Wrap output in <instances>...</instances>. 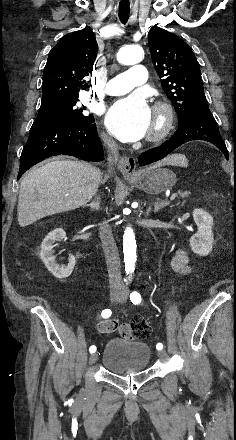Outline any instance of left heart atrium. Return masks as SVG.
<instances>
[{"label":"left heart atrium","instance_id":"39dd6f15","mask_svg":"<svg viewBox=\"0 0 236 440\" xmlns=\"http://www.w3.org/2000/svg\"><path fill=\"white\" fill-rule=\"evenodd\" d=\"M151 109L140 94L114 102L107 111L106 125L112 135L123 142L141 139L150 129Z\"/></svg>","mask_w":236,"mask_h":440}]
</instances>
